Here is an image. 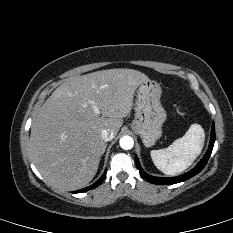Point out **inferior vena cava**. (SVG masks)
Here are the masks:
<instances>
[{
    "label": "inferior vena cava",
    "instance_id": "obj_1",
    "mask_svg": "<svg viewBox=\"0 0 233 233\" xmlns=\"http://www.w3.org/2000/svg\"><path fill=\"white\" fill-rule=\"evenodd\" d=\"M101 137L105 142H107L111 141L114 138V134L110 129H103L101 131Z\"/></svg>",
    "mask_w": 233,
    "mask_h": 233
}]
</instances>
